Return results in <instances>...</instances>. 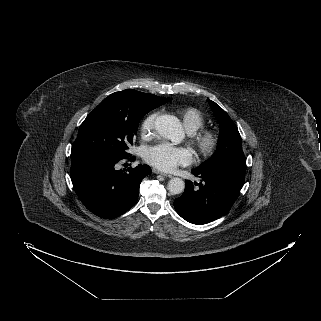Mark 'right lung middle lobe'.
I'll list each match as a JSON object with an SVG mask.
<instances>
[{
	"mask_svg": "<svg viewBox=\"0 0 321 321\" xmlns=\"http://www.w3.org/2000/svg\"><path fill=\"white\" fill-rule=\"evenodd\" d=\"M168 101L149 102L127 90L109 95L80 125L71 157L88 154L120 160L131 156L128 150L140 119Z\"/></svg>",
	"mask_w": 321,
	"mask_h": 321,
	"instance_id": "obj_1",
	"label": "right lung middle lobe"
}]
</instances>
